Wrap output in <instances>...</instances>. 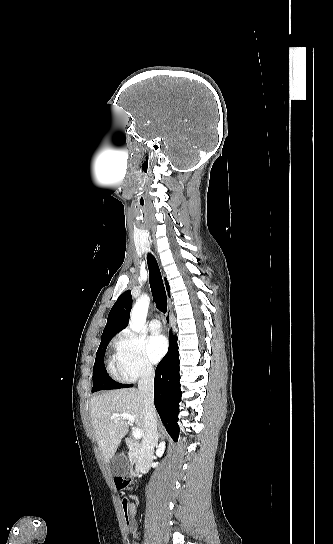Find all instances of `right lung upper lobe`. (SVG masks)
Instances as JSON below:
<instances>
[{
	"instance_id": "right-lung-upper-lobe-1",
	"label": "right lung upper lobe",
	"mask_w": 333,
	"mask_h": 544,
	"mask_svg": "<svg viewBox=\"0 0 333 544\" xmlns=\"http://www.w3.org/2000/svg\"><path fill=\"white\" fill-rule=\"evenodd\" d=\"M167 291L169 292V284L165 279ZM132 308L131 291L127 290L119 296L115 304L113 305L107 324L102 333L101 340L106 338H112L117 332L126 328L129 322L130 310Z\"/></svg>"
}]
</instances>
